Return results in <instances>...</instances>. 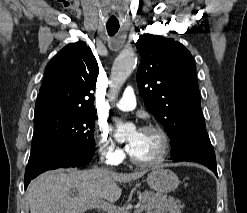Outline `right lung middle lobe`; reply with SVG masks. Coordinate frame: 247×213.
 Instances as JSON below:
<instances>
[{
    "mask_svg": "<svg viewBox=\"0 0 247 213\" xmlns=\"http://www.w3.org/2000/svg\"><path fill=\"white\" fill-rule=\"evenodd\" d=\"M95 111L46 110L34 114L30 158L56 145L71 152L95 151Z\"/></svg>",
    "mask_w": 247,
    "mask_h": 213,
    "instance_id": "right-lung-middle-lobe-1",
    "label": "right lung middle lobe"
}]
</instances>
